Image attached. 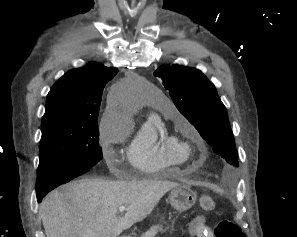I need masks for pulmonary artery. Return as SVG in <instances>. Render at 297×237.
Masks as SVG:
<instances>
[{
  "label": "pulmonary artery",
  "instance_id": "pulmonary-artery-1",
  "mask_svg": "<svg viewBox=\"0 0 297 237\" xmlns=\"http://www.w3.org/2000/svg\"><path fill=\"white\" fill-rule=\"evenodd\" d=\"M164 107H167V108H169V109H173L172 103L169 102V101H165V102H164Z\"/></svg>",
  "mask_w": 297,
  "mask_h": 237
}]
</instances>
